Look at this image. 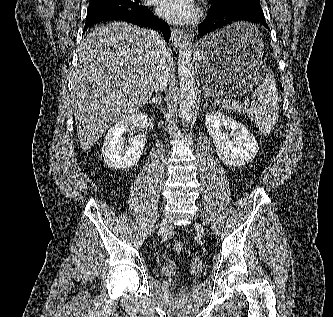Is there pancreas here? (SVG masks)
<instances>
[{
  "label": "pancreas",
  "instance_id": "obj_1",
  "mask_svg": "<svg viewBox=\"0 0 333 317\" xmlns=\"http://www.w3.org/2000/svg\"><path fill=\"white\" fill-rule=\"evenodd\" d=\"M220 106L225 110H234V111L240 110L242 107L241 104H233L229 101L222 102Z\"/></svg>",
  "mask_w": 333,
  "mask_h": 317
}]
</instances>
